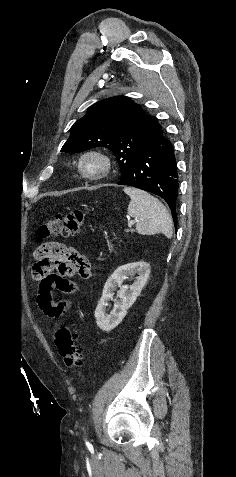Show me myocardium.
I'll use <instances>...</instances> for the list:
<instances>
[{"label":"myocardium","instance_id":"f54148a6","mask_svg":"<svg viewBox=\"0 0 236 477\" xmlns=\"http://www.w3.org/2000/svg\"><path fill=\"white\" fill-rule=\"evenodd\" d=\"M90 157L96 158L101 161L102 166L100 171L96 173H92V174L86 173L84 171L83 163L87 158H90ZM111 169H112V162L110 158L106 154L97 150H89L84 152L79 157L78 163H77V171L79 175L87 180H100L104 178L105 176H107L110 173Z\"/></svg>","mask_w":236,"mask_h":477}]
</instances>
